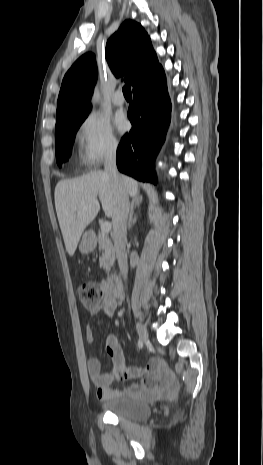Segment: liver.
Listing matches in <instances>:
<instances>
[{"instance_id": "obj_1", "label": "liver", "mask_w": 263, "mask_h": 465, "mask_svg": "<svg viewBox=\"0 0 263 465\" xmlns=\"http://www.w3.org/2000/svg\"><path fill=\"white\" fill-rule=\"evenodd\" d=\"M127 194L138 201V182L120 176ZM102 204L107 217L115 211L117 195L112 180L103 171L81 177L60 180L55 187V207L66 250L73 256L85 228L95 219Z\"/></svg>"}]
</instances>
